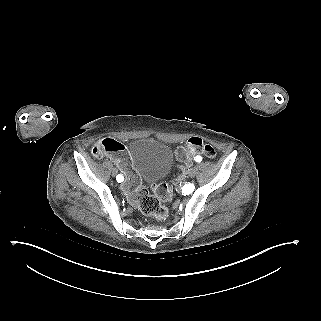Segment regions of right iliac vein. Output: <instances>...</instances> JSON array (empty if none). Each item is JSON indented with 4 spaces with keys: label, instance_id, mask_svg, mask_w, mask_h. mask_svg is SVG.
Here are the masks:
<instances>
[{
    "label": "right iliac vein",
    "instance_id": "1",
    "mask_svg": "<svg viewBox=\"0 0 321 321\" xmlns=\"http://www.w3.org/2000/svg\"><path fill=\"white\" fill-rule=\"evenodd\" d=\"M117 175V170L116 169H112V176H116Z\"/></svg>",
    "mask_w": 321,
    "mask_h": 321
}]
</instances>
